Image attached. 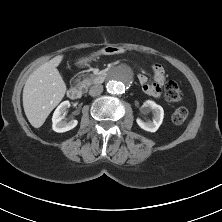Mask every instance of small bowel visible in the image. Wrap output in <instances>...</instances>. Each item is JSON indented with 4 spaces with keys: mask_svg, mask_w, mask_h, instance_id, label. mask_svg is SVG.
I'll use <instances>...</instances> for the list:
<instances>
[{
    "mask_svg": "<svg viewBox=\"0 0 222 222\" xmlns=\"http://www.w3.org/2000/svg\"><path fill=\"white\" fill-rule=\"evenodd\" d=\"M153 81L149 82L145 75H139L138 80L143 86L144 92L153 97H159L161 93V88L165 82L166 74L164 68L159 64H154L152 66Z\"/></svg>",
    "mask_w": 222,
    "mask_h": 222,
    "instance_id": "obj_1",
    "label": "small bowel"
}]
</instances>
